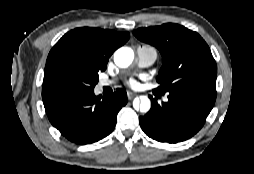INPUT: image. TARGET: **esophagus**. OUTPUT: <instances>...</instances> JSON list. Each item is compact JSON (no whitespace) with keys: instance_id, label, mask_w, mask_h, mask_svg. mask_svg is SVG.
I'll return each mask as SVG.
<instances>
[{"instance_id":"obj_1","label":"esophagus","mask_w":254,"mask_h":174,"mask_svg":"<svg viewBox=\"0 0 254 174\" xmlns=\"http://www.w3.org/2000/svg\"><path fill=\"white\" fill-rule=\"evenodd\" d=\"M127 96H128V99H129V100H132L134 97L137 96V94L132 93V92H128V93H127Z\"/></svg>"}]
</instances>
